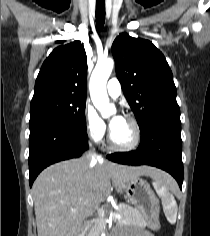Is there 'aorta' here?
<instances>
[{
    "label": "aorta",
    "instance_id": "aorta-1",
    "mask_svg": "<svg viewBox=\"0 0 210 236\" xmlns=\"http://www.w3.org/2000/svg\"><path fill=\"white\" fill-rule=\"evenodd\" d=\"M114 60L106 58L98 60L90 78V96L94 106L100 111L102 117L115 112V107L109 104L106 90L107 80L113 70Z\"/></svg>",
    "mask_w": 210,
    "mask_h": 236
}]
</instances>
